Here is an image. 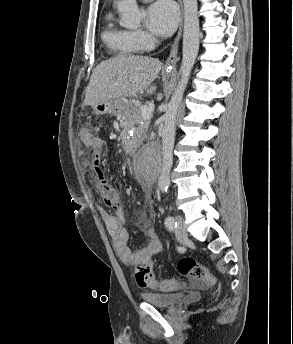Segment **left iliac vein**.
I'll return each mask as SVG.
<instances>
[{
  "label": "left iliac vein",
  "mask_w": 293,
  "mask_h": 344,
  "mask_svg": "<svg viewBox=\"0 0 293 344\" xmlns=\"http://www.w3.org/2000/svg\"><path fill=\"white\" fill-rule=\"evenodd\" d=\"M175 220L177 222V226L175 227V234L176 237L179 239H185L188 236L186 225L184 222V218L181 215H177L175 217Z\"/></svg>",
  "instance_id": "1"
}]
</instances>
